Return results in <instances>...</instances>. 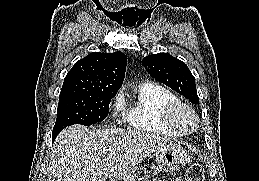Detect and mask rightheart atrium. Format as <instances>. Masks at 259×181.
Listing matches in <instances>:
<instances>
[{
	"instance_id": "obj_1",
	"label": "right heart atrium",
	"mask_w": 259,
	"mask_h": 181,
	"mask_svg": "<svg viewBox=\"0 0 259 181\" xmlns=\"http://www.w3.org/2000/svg\"><path fill=\"white\" fill-rule=\"evenodd\" d=\"M125 107V99L122 93H118L112 103V115L115 119H119Z\"/></svg>"
}]
</instances>
